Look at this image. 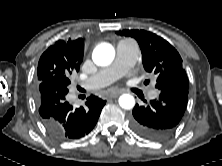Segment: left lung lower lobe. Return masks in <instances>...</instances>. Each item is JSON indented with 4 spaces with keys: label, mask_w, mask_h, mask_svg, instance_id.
<instances>
[{
    "label": "left lung lower lobe",
    "mask_w": 222,
    "mask_h": 166,
    "mask_svg": "<svg viewBox=\"0 0 222 166\" xmlns=\"http://www.w3.org/2000/svg\"><path fill=\"white\" fill-rule=\"evenodd\" d=\"M160 91L159 98L147 105L136 104L130 119L135 133L153 141L167 139L174 133L188 102V88L168 85Z\"/></svg>",
    "instance_id": "0a47b994"
}]
</instances>
